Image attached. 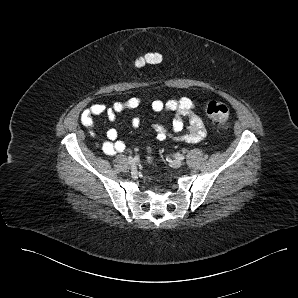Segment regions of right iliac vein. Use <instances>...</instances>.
Returning <instances> with one entry per match:
<instances>
[{"instance_id":"right-iliac-vein-1","label":"right iliac vein","mask_w":298,"mask_h":298,"mask_svg":"<svg viewBox=\"0 0 298 298\" xmlns=\"http://www.w3.org/2000/svg\"><path fill=\"white\" fill-rule=\"evenodd\" d=\"M128 163H129L130 165H134V164L136 163V161H135L134 158L129 157V158H128Z\"/></svg>"}]
</instances>
